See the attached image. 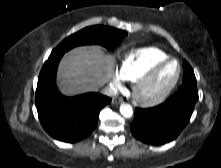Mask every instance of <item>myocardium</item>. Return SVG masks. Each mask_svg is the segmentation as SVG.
<instances>
[{
  "instance_id": "f54148a6",
  "label": "myocardium",
  "mask_w": 221,
  "mask_h": 168,
  "mask_svg": "<svg viewBox=\"0 0 221 168\" xmlns=\"http://www.w3.org/2000/svg\"><path fill=\"white\" fill-rule=\"evenodd\" d=\"M169 63H175L177 66L176 74L173 79L160 90L148 93L146 88L154 80L160 70ZM181 76L180 62L175 58H166L153 67H151L143 76H141L134 85V96L143 106H154L165 100L174 90Z\"/></svg>"
}]
</instances>
